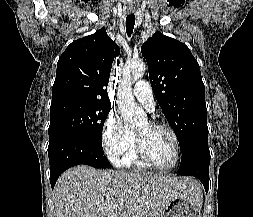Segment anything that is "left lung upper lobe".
<instances>
[{
  "label": "left lung upper lobe",
  "mask_w": 253,
  "mask_h": 217,
  "mask_svg": "<svg viewBox=\"0 0 253 217\" xmlns=\"http://www.w3.org/2000/svg\"><path fill=\"white\" fill-rule=\"evenodd\" d=\"M155 97L183 152L192 141H208L205 87L200 67L183 43L156 32L142 45Z\"/></svg>",
  "instance_id": "5c2ea615"
}]
</instances>
